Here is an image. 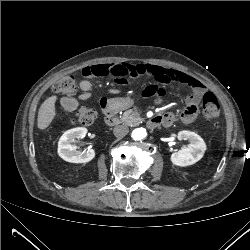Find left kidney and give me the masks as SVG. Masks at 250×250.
I'll return each instance as SVG.
<instances>
[{
	"label": "left kidney",
	"mask_w": 250,
	"mask_h": 250,
	"mask_svg": "<svg viewBox=\"0 0 250 250\" xmlns=\"http://www.w3.org/2000/svg\"><path fill=\"white\" fill-rule=\"evenodd\" d=\"M178 140H188L187 147L181 148L177 153L171 155V162L176 166H189L199 161L206 150L203 139L194 132L183 130L177 134Z\"/></svg>",
	"instance_id": "left-kidney-1"
}]
</instances>
